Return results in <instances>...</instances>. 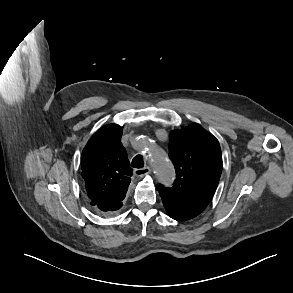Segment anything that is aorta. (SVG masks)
<instances>
[{"instance_id": "aorta-1", "label": "aorta", "mask_w": 293, "mask_h": 293, "mask_svg": "<svg viewBox=\"0 0 293 293\" xmlns=\"http://www.w3.org/2000/svg\"><path fill=\"white\" fill-rule=\"evenodd\" d=\"M143 150L153 167L157 180L169 186L175 177V171L167 154L149 140L146 141Z\"/></svg>"}]
</instances>
